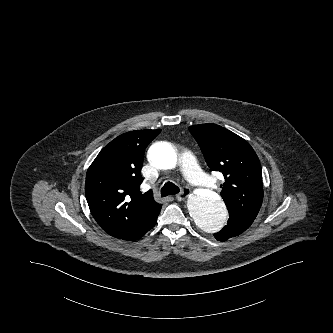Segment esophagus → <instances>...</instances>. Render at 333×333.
I'll list each match as a JSON object with an SVG mask.
<instances>
[{
  "label": "esophagus",
  "instance_id": "esophagus-1",
  "mask_svg": "<svg viewBox=\"0 0 333 333\" xmlns=\"http://www.w3.org/2000/svg\"><path fill=\"white\" fill-rule=\"evenodd\" d=\"M190 195V190L188 188H183V190L176 195L178 201L185 200Z\"/></svg>",
  "mask_w": 333,
  "mask_h": 333
}]
</instances>
